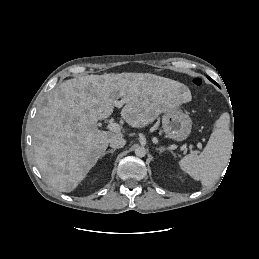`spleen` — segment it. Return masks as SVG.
<instances>
[{
  "mask_svg": "<svg viewBox=\"0 0 259 259\" xmlns=\"http://www.w3.org/2000/svg\"><path fill=\"white\" fill-rule=\"evenodd\" d=\"M230 115L225 112L215 122V128L204 150L199 154H188L180 162V168L195 180L207 186L218 179L227 166L232 150Z\"/></svg>",
  "mask_w": 259,
  "mask_h": 259,
  "instance_id": "spleen-1",
  "label": "spleen"
}]
</instances>
